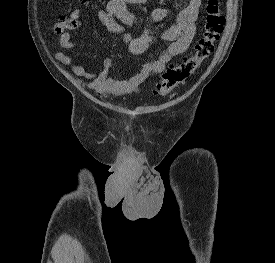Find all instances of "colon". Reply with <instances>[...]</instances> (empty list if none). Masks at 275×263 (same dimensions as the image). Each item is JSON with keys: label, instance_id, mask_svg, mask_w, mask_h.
<instances>
[{"label": "colon", "instance_id": "5ec220e1", "mask_svg": "<svg viewBox=\"0 0 275 263\" xmlns=\"http://www.w3.org/2000/svg\"><path fill=\"white\" fill-rule=\"evenodd\" d=\"M81 1L87 2V0ZM224 25L225 17L220 0H207L202 35L196 43L193 53L179 64L168 67L163 72L161 80L154 86L153 93L166 96L193 77L212 56Z\"/></svg>", "mask_w": 275, "mask_h": 263}]
</instances>
